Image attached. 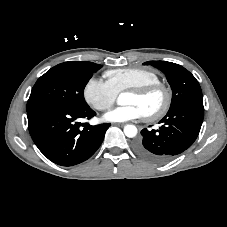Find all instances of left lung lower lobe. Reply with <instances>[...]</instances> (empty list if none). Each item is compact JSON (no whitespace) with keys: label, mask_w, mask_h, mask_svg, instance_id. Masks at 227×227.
<instances>
[{"label":"left lung lower lobe","mask_w":227,"mask_h":227,"mask_svg":"<svg viewBox=\"0 0 227 227\" xmlns=\"http://www.w3.org/2000/svg\"><path fill=\"white\" fill-rule=\"evenodd\" d=\"M204 117L203 106L187 105L168 111L158 130L143 129L134 150L142 158L164 163L189 148L196 140Z\"/></svg>","instance_id":"0a47b994"}]
</instances>
